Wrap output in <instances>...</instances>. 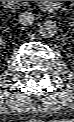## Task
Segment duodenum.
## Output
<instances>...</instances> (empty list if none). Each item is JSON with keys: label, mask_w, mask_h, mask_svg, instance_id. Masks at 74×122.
I'll return each mask as SVG.
<instances>
[{"label": "duodenum", "mask_w": 74, "mask_h": 122, "mask_svg": "<svg viewBox=\"0 0 74 122\" xmlns=\"http://www.w3.org/2000/svg\"><path fill=\"white\" fill-rule=\"evenodd\" d=\"M4 4L15 6L18 1H3ZM58 1H41V7L45 12H53L58 9Z\"/></svg>", "instance_id": "1"}]
</instances>
